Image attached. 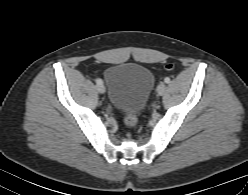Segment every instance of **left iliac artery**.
Wrapping results in <instances>:
<instances>
[{"label":"left iliac artery","mask_w":248,"mask_h":195,"mask_svg":"<svg viewBox=\"0 0 248 195\" xmlns=\"http://www.w3.org/2000/svg\"><path fill=\"white\" fill-rule=\"evenodd\" d=\"M164 81H165V83H170V78L166 77V78L164 79Z\"/></svg>","instance_id":"left-iliac-artery-1"}]
</instances>
